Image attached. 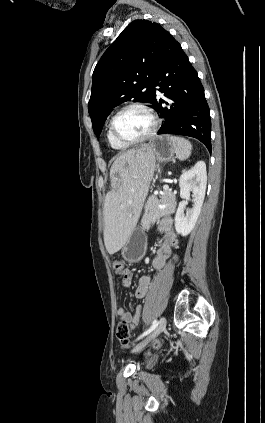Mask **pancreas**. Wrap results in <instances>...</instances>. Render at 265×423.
I'll use <instances>...</instances> for the list:
<instances>
[{
    "mask_svg": "<svg viewBox=\"0 0 265 423\" xmlns=\"http://www.w3.org/2000/svg\"><path fill=\"white\" fill-rule=\"evenodd\" d=\"M175 209L176 197L172 191L164 190L160 198L151 195L144 207V214L141 221L142 228L148 229L151 224H154L163 216L173 214Z\"/></svg>",
    "mask_w": 265,
    "mask_h": 423,
    "instance_id": "pancreas-1",
    "label": "pancreas"
}]
</instances>
